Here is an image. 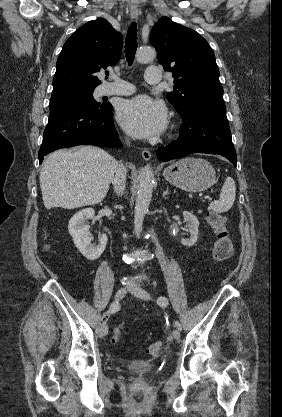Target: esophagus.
<instances>
[{
	"instance_id": "esophagus-1",
	"label": "esophagus",
	"mask_w": 282,
	"mask_h": 417,
	"mask_svg": "<svg viewBox=\"0 0 282 417\" xmlns=\"http://www.w3.org/2000/svg\"><path fill=\"white\" fill-rule=\"evenodd\" d=\"M130 15L132 18H136L138 16V10H130ZM142 156L144 160H150L151 159V153L149 150H143Z\"/></svg>"
}]
</instances>
